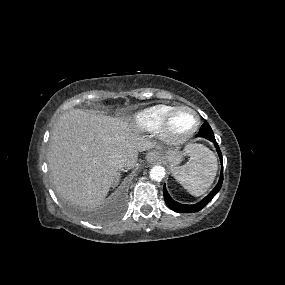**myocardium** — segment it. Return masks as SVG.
Returning a JSON list of instances; mask_svg holds the SVG:
<instances>
[{
  "instance_id": "f54148a6",
  "label": "myocardium",
  "mask_w": 285,
  "mask_h": 285,
  "mask_svg": "<svg viewBox=\"0 0 285 285\" xmlns=\"http://www.w3.org/2000/svg\"><path fill=\"white\" fill-rule=\"evenodd\" d=\"M183 112H187L193 115L195 122L192 128L189 129L187 132L177 133L174 131L172 127V123H173L174 118L178 114L183 113ZM200 124H201L200 117L195 110L187 106H178V107H174L164 119L161 129H160V134H161V137L168 143L181 144L189 140L191 137H193L196 134V132L199 130Z\"/></svg>"
}]
</instances>
